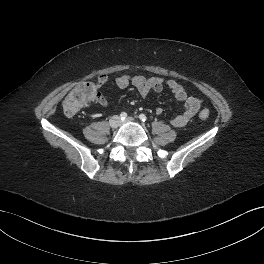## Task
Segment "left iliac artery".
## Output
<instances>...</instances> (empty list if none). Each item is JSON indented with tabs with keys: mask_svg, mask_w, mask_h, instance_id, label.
Wrapping results in <instances>:
<instances>
[{
	"mask_svg": "<svg viewBox=\"0 0 264 264\" xmlns=\"http://www.w3.org/2000/svg\"><path fill=\"white\" fill-rule=\"evenodd\" d=\"M139 119H140L141 121L145 122V121L147 120V117H146L145 114H140V115H139Z\"/></svg>",
	"mask_w": 264,
	"mask_h": 264,
	"instance_id": "1",
	"label": "left iliac artery"
}]
</instances>
